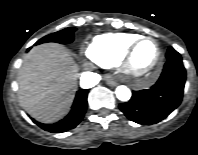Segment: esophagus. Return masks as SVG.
<instances>
[{"mask_svg": "<svg viewBox=\"0 0 198 155\" xmlns=\"http://www.w3.org/2000/svg\"><path fill=\"white\" fill-rule=\"evenodd\" d=\"M105 80H106L107 85L109 86H116L118 84L116 80L111 76H106Z\"/></svg>", "mask_w": 198, "mask_h": 155, "instance_id": "1", "label": "esophagus"}]
</instances>
